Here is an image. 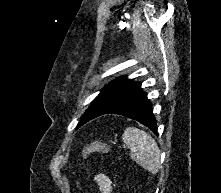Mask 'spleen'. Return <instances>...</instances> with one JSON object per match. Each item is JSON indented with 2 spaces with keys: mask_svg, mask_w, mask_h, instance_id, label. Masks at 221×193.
Here are the masks:
<instances>
[{
  "mask_svg": "<svg viewBox=\"0 0 221 193\" xmlns=\"http://www.w3.org/2000/svg\"><path fill=\"white\" fill-rule=\"evenodd\" d=\"M123 142L131 151V158L151 173L160 168V150L156 141L143 130L126 128L122 135Z\"/></svg>",
  "mask_w": 221,
  "mask_h": 193,
  "instance_id": "spleen-1",
  "label": "spleen"
}]
</instances>
